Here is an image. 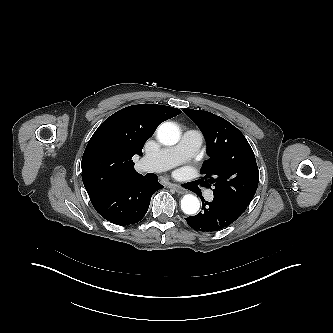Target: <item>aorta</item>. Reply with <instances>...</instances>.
<instances>
[{
  "label": "aorta",
  "mask_w": 333,
  "mask_h": 333,
  "mask_svg": "<svg viewBox=\"0 0 333 333\" xmlns=\"http://www.w3.org/2000/svg\"><path fill=\"white\" fill-rule=\"evenodd\" d=\"M159 141L164 145H175L180 138L178 126L173 122L162 123L157 130ZM200 207V202L196 196L186 194L181 200V209L185 214L193 215Z\"/></svg>",
  "instance_id": "obj_1"
}]
</instances>
